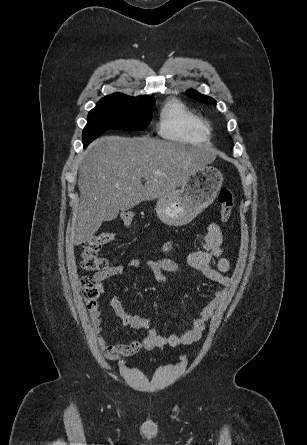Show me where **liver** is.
Returning a JSON list of instances; mask_svg holds the SVG:
<instances>
[{"label":"liver","instance_id":"6515ba94","mask_svg":"<svg viewBox=\"0 0 307 445\" xmlns=\"http://www.w3.org/2000/svg\"><path fill=\"white\" fill-rule=\"evenodd\" d=\"M212 160L214 154L203 146L149 136H100L81 160L71 243L92 239L103 220H111L119 210L180 190L189 174ZM156 170L165 174H153Z\"/></svg>","mask_w":307,"mask_h":445}]
</instances>
